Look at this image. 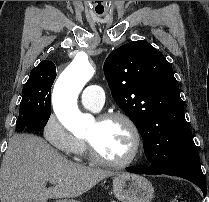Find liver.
I'll use <instances>...</instances> for the list:
<instances>
[{
	"instance_id": "obj_1",
	"label": "liver",
	"mask_w": 209,
	"mask_h": 202,
	"mask_svg": "<svg viewBox=\"0 0 209 202\" xmlns=\"http://www.w3.org/2000/svg\"><path fill=\"white\" fill-rule=\"evenodd\" d=\"M110 171L74 163L33 134H15L9 141L0 168L1 202H47L78 197ZM49 179L57 185L47 188Z\"/></svg>"
}]
</instances>
